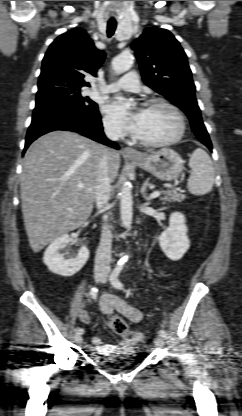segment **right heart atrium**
<instances>
[{
  "label": "right heart atrium",
  "mask_w": 242,
  "mask_h": 416,
  "mask_svg": "<svg viewBox=\"0 0 242 416\" xmlns=\"http://www.w3.org/2000/svg\"><path fill=\"white\" fill-rule=\"evenodd\" d=\"M103 126L105 132L112 137H120L123 135L121 127L109 116L103 119Z\"/></svg>",
  "instance_id": "right-heart-atrium-1"
}]
</instances>
